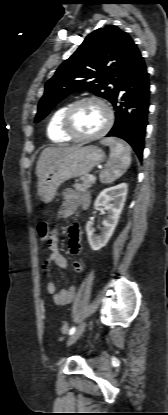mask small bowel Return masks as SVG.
I'll use <instances>...</instances> for the list:
<instances>
[{
	"label": "small bowel",
	"mask_w": 168,
	"mask_h": 415,
	"mask_svg": "<svg viewBox=\"0 0 168 415\" xmlns=\"http://www.w3.org/2000/svg\"><path fill=\"white\" fill-rule=\"evenodd\" d=\"M90 204V196L86 192H76L72 189H66L63 192V202L58 212L57 218L63 219L72 215L78 208L87 209ZM49 236L46 239L49 255L44 260L42 270L47 278V291L52 296L56 305L65 306L70 304L74 297L76 289L70 287L67 290L56 289L52 279V267L54 265L66 269L68 267L67 259L59 251V241L57 231L49 224ZM69 236V249L72 254H78L81 249V229L77 223H71L67 228ZM75 271H82L83 264L79 261L73 263Z\"/></svg>",
	"instance_id": "obj_1"
}]
</instances>
